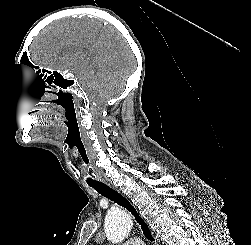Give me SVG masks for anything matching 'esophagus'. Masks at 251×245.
<instances>
[{
    "label": "esophagus",
    "mask_w": 251,
    "mask_h": 245,
    "mask_svg": "<svg viewBox=\"0 0 251 245\" xmlns=\"http://www.w3.org/2000/svg\"><path fill=\"white\" fill-rule=\"evenodd\" d=\"M109 185H110V183H109ZM152 235L154 236V238H155V241H156V245H159V238H158V236L155 234V232H153L152 231Z\"/></svg>",
    "instance_id": "34e87169"
}]
</instances>
